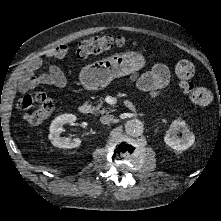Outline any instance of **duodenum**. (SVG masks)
Segmentation results:
<instances>
[{
	"instance_id": "obj_1",
	"label": "duodenum",
	"mask_w": 221,
	"mask_h": 221,
	"mask_svg": "<svg viewBox=\"0 0 221 221\" xmlns=\"http://www.w3.org/2000/svg\"><path fill=\"white\" fill-rule=\"evenodd\" d=\"M78 111L81 114H88L90 112V107L87 104H82L79 106Z\"/></svg>"
}]
</instances>
